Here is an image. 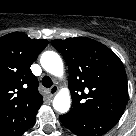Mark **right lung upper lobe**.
<instances>
[{
	"label": "right lung upper lobe",
	"mask_w": 136,
	"mask_h": 136,
	"mask_svg": "<svg viewBox=\"0 0 136 136\" xmlns=\"http://www.w3.org/2000/svg\"><path fill=\"white\" fill-rule=\"evenodd\" d=\"M47 44L21 32L0 37V136H19L34 125L43 96L30 66Z\"/></svg>",
	"instance_id": "obj_1"
}]
</instances>
